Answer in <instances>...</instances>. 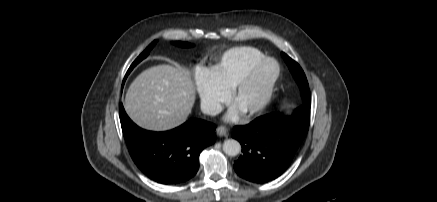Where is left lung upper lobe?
Segmentation results:
<instances>
[{
	"mask_svg": "<svg viewBox=\"0 0 437 202\" xmlns=\"http://www.w3.org/2000/svg\"><path fill=\"white\" fill-rule=\"evenodd\" d=\"M282 57L285 60L286 64L288 65L292 75L294 76L295 80L297 81L302 97L304 100V107L310 108L311 105V96H310V90L309 85L306 79V76L302 70V68L298 65L297 62H295L293 59H291L288 55L282 52Z\"/></svg>",
	"mask_w": 437,
	"mask_h": 202,
	"instance_id": "obj_1",
	"label": "left lung upper lobe"
}]
</instances>
